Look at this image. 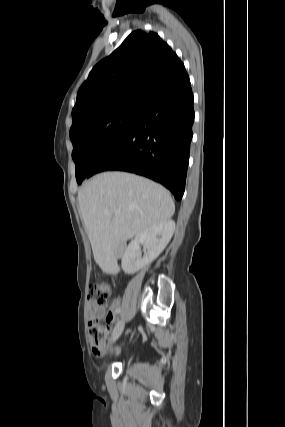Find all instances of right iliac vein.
<instances>
[{"label": "right iliac vein", "instance_id": "obj_1", "mask_svg": "<svg viewBox=\"0 0 285 427\" xmlns=\"http://www.w3.org/2000/svg\"><path fill=\"white\" fill-rule=\"evenodd\" d=\"M123 330H124V322L119 321V323L116 324V326L112 332L111 341L115 342L121 336Z\"/></svg>", "mask_w": 285, "mask_h": 427}]
</instances>
